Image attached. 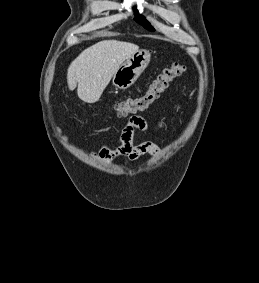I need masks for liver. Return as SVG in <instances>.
Masks as SVG:
<instances>
[{
  "label": "liver",
  "instance_id": "obj_1",
  "mask_svg": "<svg viewBox=\"0 0 259 283\" xmlns=\"http://www.w3.org/2000/svg\"><path fill=\"white\" fill-rule=\"evenodd\" d=\"M139 47L117 40L100 41L85 49L70 64L67 83L76 88L78 97L86 103L97 102L118 68Z\"/></svg>",
  "mask_w": 259,
  "mask_h": 283
}]
</instances>
